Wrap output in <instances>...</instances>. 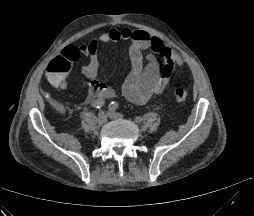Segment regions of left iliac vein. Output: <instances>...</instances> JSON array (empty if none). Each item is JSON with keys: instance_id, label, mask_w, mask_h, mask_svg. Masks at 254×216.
Returning <instances> with one entry per match:
<instances>
[{"instance_id": "1", "label": "left iliac vein", "mask_w": 254, "mask_h": 216, "mask_svg": "<svg viewBox=\"0 0 254 216\" xmlns=\"http://www.w3.org/2000/svg\"><path fill=\"white\" fill-rule=\"evenodd\" d=\"M108 117L111 118V119H119V118H121V115L117 112L110 111L108 113Z\"/></svg>"}]
</instances>
